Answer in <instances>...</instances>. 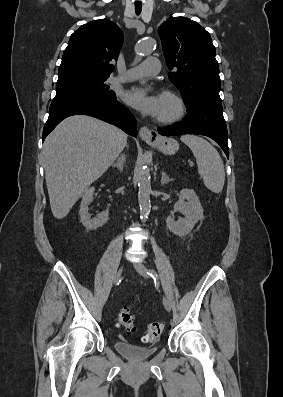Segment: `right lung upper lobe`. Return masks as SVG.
<instances>
[{
    "instance_id": "1",
    "label": "right lung upper lobe",
    "mask_w": 283,
    "mask_h": 397,
    "mask_svg": "<svg viewBox=\"0 0 283 397\" xmlns=\"http://www.w3.org/2000/svg\"><path fill=\"white\" fill-rule=\"evenodd\" d=\"M123 44L121 29L108 19L82 25L70 37L58 79L73 75L110 76Z\"/></svg>"
}]
</instances>
